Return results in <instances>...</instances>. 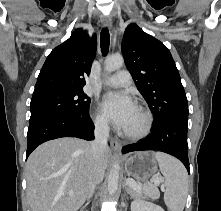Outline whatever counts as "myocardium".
<instances>
[{
  "instance_id": "f54148a6",
  "label": "myocardium",
  "mask_w": 221,
  "mask_h": 211,
  "mask_svg": "<svg viewBox=\"0 0 221 211\" xmlns=\"http://www.w3.org/2000/svg\"><path fill=\"white\" fill-rule=\"evenodd\" d=\"M136 108L142 113L144 117V124L137 132H127L124 130L121 132L122 136L130 140H140L145 138L150 133L153 125V116L151 112L146 107L139 104Z\"/></svg>"
}]
</instances>
